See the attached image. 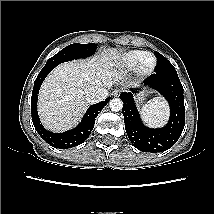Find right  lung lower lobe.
<instances>
[{
	"instance_id": "98d812e1",
	"label": "right lung lower lobe",
	"mask_w": 214,
	"mask_h": 214,
	"mask_svg": "<svg viewBox=\"0 0 214 214\" xmlns=\"http://www.w3.org/2000/svg\"><path fill=\"white\" fill-rule=\"evenodd\" d=\"M54 65H45L44 68L38 74L31 97V113L32 121L38 134L51 146L56 148H71L83 143L91 131L93 130L95 124V118L103 109V107L108 103L110 97L105 101L91 105L87 112L85 113L81 123L74 129L64 132V133H53L46 130L40 123L38 113H37V98L40 86L44 81L45 77L52 71Z\"/></svg>"
}]
</instances>
